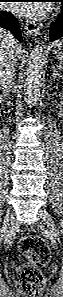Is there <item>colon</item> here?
Listing matches in <instances>:
<instances>
[{"mask_svg":"<svg viewBox=\"0 0 63 297\" xmlns=\"http://www.w3.org/2000/svg\"><path fill=\"white\" fill-rule=\"evenodd\" d=\"M19 250L29 266L20 272L16 281L17 286L32 297H38L44 285L39 269L45 266L49 260V248L41 238L29 235L20 240Z\"/></svg>","mask_w":63,"mask_h":297,"instance_id":"colon-1","label":"colon"}]
</instances>
